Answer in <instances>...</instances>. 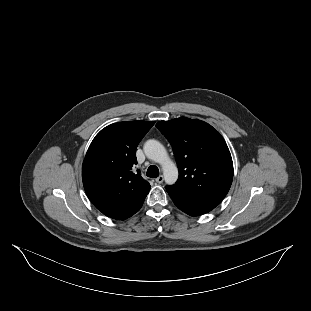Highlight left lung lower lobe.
<instances>
[{
    "mask_svg": "<svg viewBox=\"0 0 311 311\" xmlns=\"http://www.w3.org/2000/svg\"><path fill=\"white\" fill-rule=\"evenodd\" d=\"M168 194L173 200L174 204L183 212L191 216H199L214 209L218 204L201 201L191 198L183 193L171 190L166 187Z\"/></svg>",
    "mask_w": 311,
    "mask_h": 311,
    "instance_id": "left-lung-lower-lobe-1",
    "label": "left lung lower lobe"
}]
</instances>
